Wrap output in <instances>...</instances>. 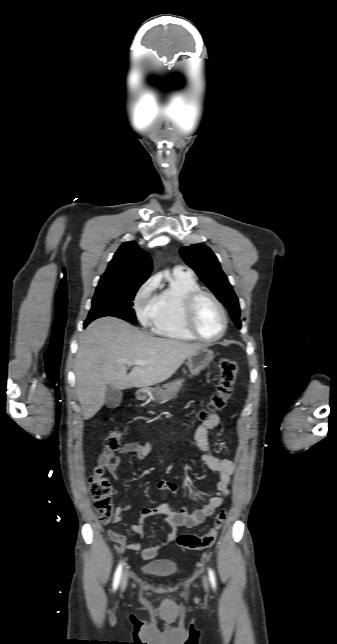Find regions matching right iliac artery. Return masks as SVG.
Returning a JSON list of instances; mask_svg holds the SVG:
<instances>
[{
    "label": "right iliac artery",
    "instance_id": "1",
    "mask_svg": "<svg viewBox=\"0 0 337 644\" xmlns=\"http://www.w3.org/2000/svg\"><path fill=\"white\" fill-rule=\"evenodd\" d=\"M121 573H122V565H121V564H119V566H118V568H117V570H116V572H115V575H114V581H113V588H114V590H115V589L118 587V585H119L120 577H121Z\"/></svg>",
    "mask_w": 337,
    "mask_h": 644
}]
</instances>
